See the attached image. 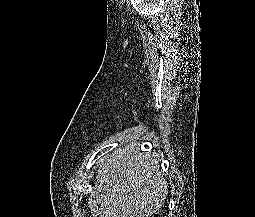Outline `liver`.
I'll return each mask as SVG.
<instances>
[{
  "instance_id": "liver-1",
  "label": "liver",
  "mask_w": 255,
  "mask_h": 217,
  "mask_svg": "<svg viewBox=\"0 0 255 217\" xmlns=\"http://www.w3.org/2000/svg\"><path fill=\"white\" fill-rule=\"evenodd\" d=\"M96 180L88 199L93 217H150L168 191L157 156L138 149L107 156Z\"/></svg>"
}]
</instances>
